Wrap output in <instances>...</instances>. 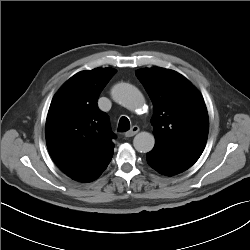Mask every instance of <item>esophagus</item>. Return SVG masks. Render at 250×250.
I'll return each mask as SVG.
<instances>
[{"label": "esophagus", "instance_id": "1", "mask_svg": "<svg viewBox=\"0 0 250 250\" xmlns=\"http://www.w3.org/2000/svg\"><path fill=\"white\" fill-rule=\"evenodd\" d=\"M139 132V127L138 126H133L129 131L125 133L126 137H133L135 134Z\"/></svg>", "mask_w": 250, "mask_h": 250}]
</instances>
